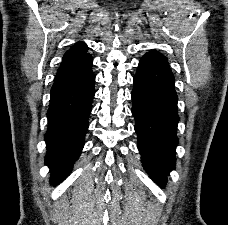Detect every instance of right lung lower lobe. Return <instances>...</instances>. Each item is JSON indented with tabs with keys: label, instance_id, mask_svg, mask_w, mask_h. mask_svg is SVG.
Wrapping results in <instances>:
<instances>
[{
	"label": "right lung lower lobe",
	"instance_id": "1",
	"mask_svg": "<svg viewBox=\"0 0 228 225\" xmlns=\"http://www.w3.org/2000/svg\"><path fill=\"white\" fill-rule=\"evenodd\" d=\"M92 62L90 54L63 61L51 89L45 163L53 185L71 172L84 146L95 94Z\"/></svg>",
	"mask_w": 228,
	"mask_h": 225
}]
</instances>
